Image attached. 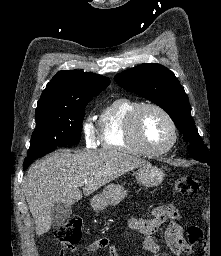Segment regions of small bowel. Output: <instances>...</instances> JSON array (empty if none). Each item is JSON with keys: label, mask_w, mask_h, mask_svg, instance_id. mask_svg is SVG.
Listing matches in <instances>:
<instances>
[{"label": "small bowel", "mask_w": 221, "mask_h": 256, "mask_svg": "<svg viewBox=\"0 0 221 256\" xmlns=\"http://www.w3.org/2000/svg\"><path fill=\"white\" fill-rule=\"evenodd\" d=\"M179 213L173 205H160L155 207L147 218H132L129 221V227L144 235L143 247L151 253L159 252V245L153 238L159 227L168 219L172 220L165 230V242L174 256H180L189 248L187 241L183 238L182 227L176 222ZM87 252H96L107 249L108 256H119L118 250L109 238H98L86 246Z\"/></svg>", "instance_id": "c3829d8e"}]
</instances>
